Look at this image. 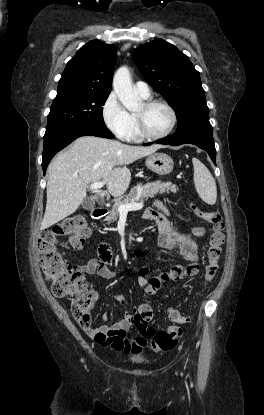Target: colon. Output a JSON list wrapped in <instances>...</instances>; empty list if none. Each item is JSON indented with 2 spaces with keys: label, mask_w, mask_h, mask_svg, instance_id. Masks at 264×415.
I'll return each mask as SVG.
<instances>
[{
  "label": "colon",
  "mask_w": 264,
  "mask_h": 415,
  "mask_svg": "<svg viewBox=\"0 0 264 415\" xmlns=\"http://www.w3.org/2000/svg\"><path fill=\"white\" fill-rule=\"evenodd\" d=\"M196 216L204 219L210 225V236L207 248V264L205 267L204 284H209L215 277L224 242L222 216L217 210L204 211L194 205L190 206ZM90 229L82 216L72 217L61 225L43 229L40 233L37 250L39 262L44 278L51 283V292L56 297H68L71 303V312L83 329L91 328L90 311L97 300V294L87 282L85 270L78 265L70 264L59 252L61 238L71 249H78L89 237ZM192 265H176L168 272L154 280L153 286L160 282L175 281L191 275ZM169 318L173 322L189 324L190 316H182L178 311H172ZM134 323L141 333L149 340V346L154 351L173 349L183 336V330L178 326L167 329H155L154 314L150 307L143 306L135 316ZM139 339H144L139 337Z\"/></svg>",
  "instance_id": "5ec220e1"
}]
</instances>
